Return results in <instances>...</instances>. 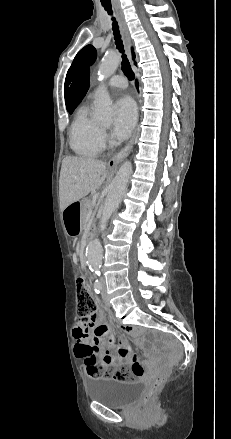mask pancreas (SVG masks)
Returning <instances> with one entry per match:
<instances>
[{"label": "pancreas", "instance_id": "1", "mask_svg": "<svg viewBox=\"0 0 231 439\" xmlns=\"http://www.w3.org/2000/svg\"><path fill=\"white\" fill-rule=\"evenodd\" d=\"M93 208V202L90 198L83 199L81 201V220L82 223H86L89 219V214Z\"/></svg>", "mask_w": 231, "mask_h": 439}]
</instances>
